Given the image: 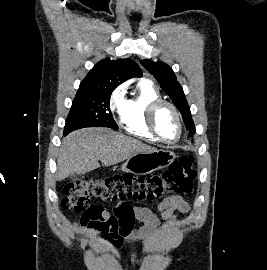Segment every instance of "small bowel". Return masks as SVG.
<instances>
[{"instance_id": "1", "label": "small bowel", "mask_w": 267, "mask_h": 270, "mask_svg": "<svg viewBox=\"0 0 267 270\" xmlns=\"http://www.w3.org/2000/svg\"><path fill=\"white\" fill-rule=\"evenodd\" d=\"M159 212L146 207L132 206L128 202H118L114 210V216L101 205L93 206V211L82 215L81 219L74 224L76 228L85 229L91 233L102 235L103 240L111 241L116 246L122 243L127 236L125 243L130 249L135 241L141 240L142 247L159 240L176 224L174 210L187 213L190 210L189 203L183 196H171L155 203ZM139 220L144 227L137 231H132L135 220ZM141 262V258L135 260L136 264Z\"/></svg>"}]
</instances>
